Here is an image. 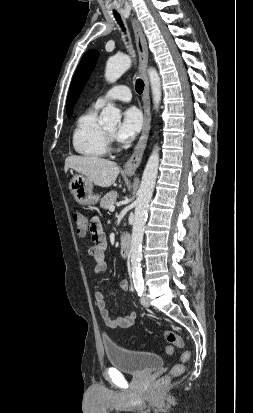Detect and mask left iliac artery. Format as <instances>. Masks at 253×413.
Returning a JSON list of instances; mask_svg holds the SVG:
<instances>
[{
	"label": "left iliac artery",
	"mask_w": 253,
	"mask_h": 413,
	"mask_svg": "<svg viewBox=\"0 0 253 413\" xmlns=\"http://www.w3.org/2000/svg\"><path fill=\"white\" fill-rule=\"evenodd\" d=\"M133 276L134 287L138 293V296H142L144 291V280L142 277V273H136Z\"/></svg>",
	"instance_id": "obj_1"
}]
</instances>
